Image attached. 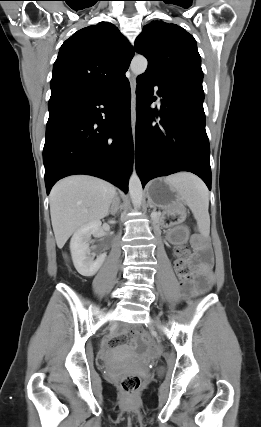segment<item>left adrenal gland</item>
I'll use <instances>...</instances> for the list:
<instances>
[{"mask_svg": "<svg viewBox=\"0 0 261 427\" xmlns=\"http://www.w3.org/2000/svg\"><path fill=\"white\" fill-rule=\"evenodd\" d=\"M150 208H153V206L151 204H149Z\"/></svg>", "mask_w": 261, "mask_h": 427, "instance_id": "a2214340", "label": "left adrenal gland"}]
</instances>
